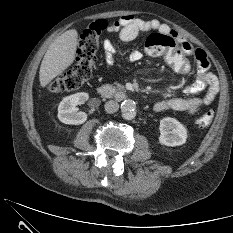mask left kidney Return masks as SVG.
I'll list each match as a JSON object with an SVG mask.
<instances>
[{
  "label": "left kidney",
  "mask_w": 233,
  "mask_h": 233,
  "mask_svg": "<svg viewBox=\"0 0 233 233\" xmlns=\"http://www.w3.org/2000/svg\"><path fill=\"white\" fill-rule=\"evenodd\" d=\"M159 142L166 146H180L187 140V129L175 118L166 117L160 121Z\"/></svg>",
  "instance_id": "5707ae66"
}]
</instances>
